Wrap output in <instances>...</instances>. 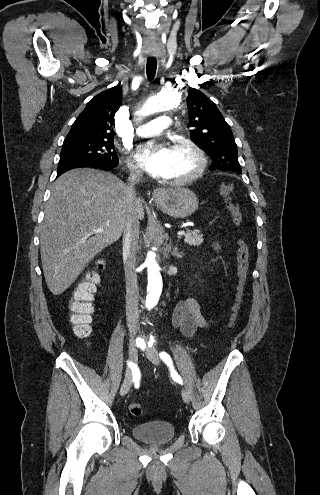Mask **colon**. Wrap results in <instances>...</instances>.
<instances>
[{
	"instance_id": "5ec220e1",
	"label": "colon",
	"mask_w": 320,
	"mask_h": 495,
	"mask_svg": "<svg viewBox=\"0 0 320 495\" xmlns=\"http://www.w3.org/2000/svg\"><path fill=\"white\" fill-rule=\"evenodd\" d=\"M219 193L226 201L227 208L234 224L239 226L242 222V212L239 205L234 202V186L230 183H222L219 188ZM237 245L238 285L232 314L228 323V329H232L237 320L249 271V245L244 238H239ZM98 279L96 273H90L85 280L77 285L70 303L71 321L74 326V331L81 337L87 336L91 331L90 323L91 315L94 311V292ZM129 410L133 416H140L142 414V406L138 402L131 403Z\"/></svg>"
}]
</instances>
